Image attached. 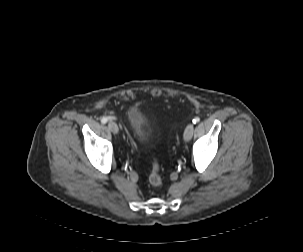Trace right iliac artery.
I'll return each instance as SVG.
<instances>
[{
    "instance_id": "obj_1",
    "label": "right iliac artery",
    "mask_w": 303,
    "mask_h": 252,
    "mask_svg": "<svg viewBox=\"0 0 303 252\" xmlns=\"http://www.w3.org/2000/svg\"><path fill=\"white\" fill-rule=\"evenodd\" d=\"M107 121H108V118H107V117L101 118V123H102V124L107 123Z\"/></svg>"
}]
</instances>
